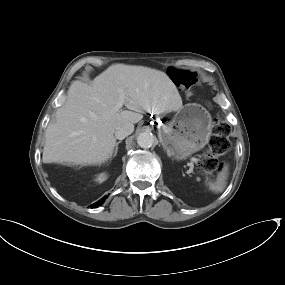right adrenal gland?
Returning a JSON list of instances; mask_svg holds the SVG:
<instances>
[{
    "label": "right adrenal gland",
    "mask_w": 285,
    "mask_h": 285,
    "mask_svg": "<svg viewBox=\"0 0 285 285\" xmlns=\"http://www.w3.org/2000/svg\"><path fill=\"white\" fill-rule=\"evenodd\" d=\"M121 142H122V141H118V142H116L113 157H115V156L117 155V152H118V145H119Z\"/></svg>",
    "instance_id": "1"
}]
</instances>
